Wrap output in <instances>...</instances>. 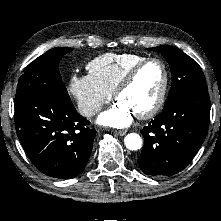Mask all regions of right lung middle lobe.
Masks as SVG:
<instances>
[{"label": "right lung middle lobe", "instance_id": "dd1d6c3e", "mask_svg": "<svg viewBox=\"0 0 221 221\" xmlns=\"http://www.w3.org/2000/svg\"><path fill=\"white\" fill-rule=\"evenodd\" d=\"M72 48H53L35 59L18 81L15 104L38 94L71 101L58 70L61 58Z\"/></svg>", "mask_w": 221, "mask_h": 221}]
</instances>
